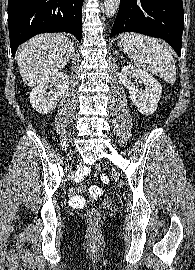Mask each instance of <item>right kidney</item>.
<instances>
[{
	"label": "right kidney",
	"mask_w": 195,
	"mask_h": 270,
	"mask_svg": "<svg viewBox=\"0 0 195 270\" xmlns=\"http://www.w3.org/2000/svg\"><path fill=\"white\" fill-rule=\"evenodd\" d=\"M69 77L65 72H56L42 79L30 93V103L39 113L46 114L53 110L63 97Z\"/></svg>",
	"instance_id": "obj_1"
}]
</instances>
